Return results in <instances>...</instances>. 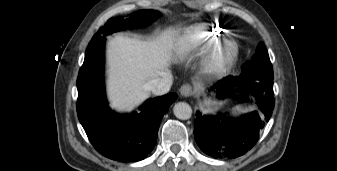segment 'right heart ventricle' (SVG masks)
Here are the masks:
<instances>
[{
  "label": "right heart ventricle",
  "instance_id": "right-heart-ventricle-1",
  "mask_svg": "<svg viewBox=\"0 0 337 171\" xmlns=\"http://www.w3.org/2000/svg\"><path fill=\"white\" fill-rule=\"evenodd\" d=\"M225 38L226 32L216 24H195L185 31L181 52L186 57L200 54Z\"/></svg>",
  "mask_w": 337,
  "mask_h": 171
}]
</instances>
